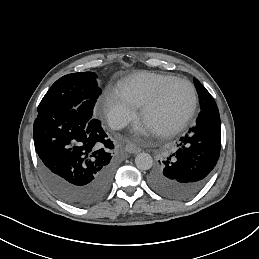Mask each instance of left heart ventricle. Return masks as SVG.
Returning a JSON list of instances; mask_svg holds the SVG:
<instances>
[{"instance_id": "obj_1", "label": "left heart ventricle", "mask_w": 259, "mask_h": 259, "mask_svg": "<svg viewBox=\"0 0 259 259\" xmlns=\"http://www.w3.org/2000/svg\"><path fill=\"white\" fill-rule=\"evenodd\" d=\"M191 90L182 81L173 83L165 92L161 102L140 117L157 133L167 129L180 115H182L191 103Z\"/></svg>"}]
</instances>
